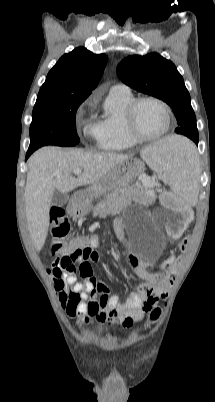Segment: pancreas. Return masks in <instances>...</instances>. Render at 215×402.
Returning a JSON list of instances; mask_svg holds the SVG:
<instances>
[{
    "label": "pancreas",
    "mask_w": 215,
    "mask_h": 402,
    "mask_svg": "<svg viewBox=\"0 0 215 402\" xmlns=\"http://www.w3.org/2000/svg\"><path fill=\"white\" fill-rule=\"evenodd\" d=\"M153 188V184L148 186L139 184L115 189L93 208V216L106 217L118 214L132 203L133 196L137 192L143 194Z\"/></svg>",
    "instance_id": "1"
}]
</instances>
